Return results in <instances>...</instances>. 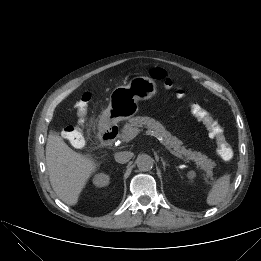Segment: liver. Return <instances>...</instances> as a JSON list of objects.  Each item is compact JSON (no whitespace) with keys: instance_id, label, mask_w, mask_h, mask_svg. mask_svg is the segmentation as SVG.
Instances as JSON below:
<instances>
[{"instance_id":"1","label":"liver","mask_w":261,"mask_h":261,"mask_svg":"<svg viewBox=\"0 0 261 261\" xmlns=\"http://www.w3.org/2000/svg\"><path fill=\"white\" fill-rule=\"evenodd\" d=\"M46 165L51 186L66 204H77L88 179L96 171V162L72 150L63 139L50 134L46 144Z\"/></svg>"}]
</instances>
